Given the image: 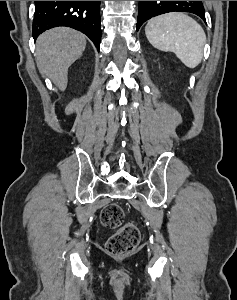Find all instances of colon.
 <instances>
[{
  "instance_id": "colon-1",
  "label": "colon",
  "mask_w": 237,
  "mask_h": 300,
  "mask_svg": "<svg viewBox=\"0 0 237 300\" xmlns=\"http://www.w3.org/2000/svg\"><path fill=\"white\" fill-rule=\"evenodd\" d=\"M101 223L115 233L106 242V251L117 257L134 252L140 241V232L131 222L124 223V211L117 203L106 205L100 214Z\"/></svg>"
}]
</instances>
